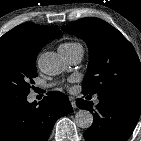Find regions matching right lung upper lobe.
Masks as SVG:
<instances>
[{"label": "right lung upper lobe", "mask_w": 141, "mask_h": 141, "mask_svg": "<svg viewBox=\"0 0 141 141\" xmlns=\"http://www.w3.org/2000/svg\"><path fill=\"white\" fill-rule=\"evenodd\" d=\"M61 36L56 28L24 23L0 37V49L15 46L38 54L44 45Z\"/></svg>", "instance_id": "right-lung-upper-lobe-1"}]
</instances>
